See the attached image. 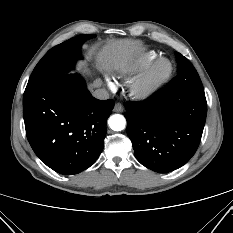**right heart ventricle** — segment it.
Here are the masks:
<instances>
[{"label":"right heart ventricle","instance_id":"obj_1","mask_svg":"<svg viewBox=\"0 0 233 233\" xmlns=\"http://www.w3.org/2000/svg\"><path fill=\"white\" fill-rule=\"evenodd\" d=\"M157 57V54L154 52H151L148 54V62H152Z\"/></svg>","mask_w":233,"mask_h":233}]
</instances>
